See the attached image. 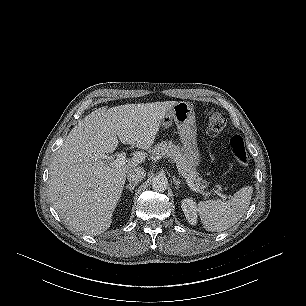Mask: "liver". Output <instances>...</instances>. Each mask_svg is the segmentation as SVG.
<instances>
[{
  "label": "liver",
  "instance_id": "obj_1",
  "mask_svg": "<svg viewBox=\"0 0 306 306\" xmlns=\"http://www.w3.org/2000/svg\"><path fill=\"white\" fill-rule=\"evenodd\" d=\"M176 101L99 108L80 121L58 149L50 166L48 192L53 207L71 228L88 235L109 229L126 175L145 161L136 152L123 166L103 162L105 153L132 144L149 150L161 122Z\"/></svg>",
  "mask_w": 306,
  "mask_h": 306
}]
</instances>
